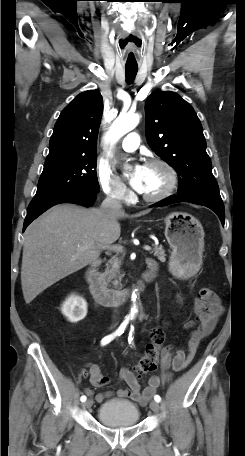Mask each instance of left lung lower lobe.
I'll return each mask as SVG.
<instances>
[{"mask_svg": "<svg viewBox=\"0 0 245 456\" xmlns=\"http://www.w3.org/2000/svg\"><path fill=\"white\" fill-rule=\"evenodd\" d=\"M179 202H190V203L203 205V206L210 208L218 215L219 219L221 220L222 225L224 226L225 212H224L223 203H218V202H214V201H210V200H203V199H190V198H185V197H181L178 195H174V196L168 197V198L152 205L151 207L167 206V205H171V204L179 203Z\"/></svg>", "mask_w": 245, "mask_h": 456, "instance_id": "0a47b994", "label": "left lung lower lobe"}]
</instances>
